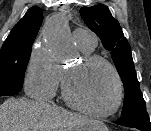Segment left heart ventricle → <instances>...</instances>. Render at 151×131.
<instances>
[{"mask_svg": "<svg viewBox=\"0 0 151 131\" xmlns=\"http://www.w3.org/2000/svg\"><path fill=\"white\" fill-rule=\"evenodd\" d=\"M69 80L72 95L87 107L103 111L112 106L116 98V83L110 70L103 64L82 67L81 63Z\"/></svg>", "mask_w": 151, "mask_h": 131, "instance_id": "1", "label": "left heart ventricle"}]
</instances>
